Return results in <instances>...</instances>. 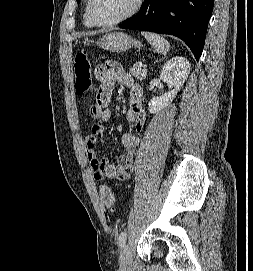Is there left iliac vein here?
<instances>
[{
    "label": "left iliac vein",
    "mask_w": 253,
    "mask_h": 271,
    "mask_svg": "<svg viewBox=\"0 0 253 271\" xmlns=\"http://www.w3.org/2000/svg\"><path fill=\"white\" fill-rule=\"evenodd\" d=\"M120 265L124 269H129L132 265V253L128 244L124 245L120 253Z\"/></svg>",
    "instance_id": "4c4485c4"
}]
</instances>
